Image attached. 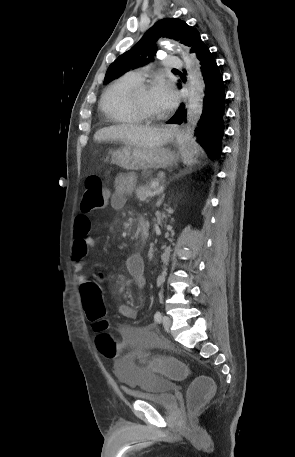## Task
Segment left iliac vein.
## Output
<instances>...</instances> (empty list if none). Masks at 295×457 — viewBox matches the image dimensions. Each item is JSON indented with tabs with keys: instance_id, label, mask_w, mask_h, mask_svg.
I'll return each instance as SVG.
<instances>
[{
	"instance_id": "obj_1",
	"label": "left iliac vein",
	"mask_w": 295,
	"mask_h": 457,
	"mask_svg": "<svg viewBox=\"0 0 295 457\" xmlns=\"http://www.w3.org/2000/svg\"><path fill=\"white\" fill-rule=\"evenodd\" d=\"M162 323H163V326L166 330H169L170 327H171V318L169 316H163L162 318Z\"/></svg>"
}]
</instances>
